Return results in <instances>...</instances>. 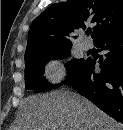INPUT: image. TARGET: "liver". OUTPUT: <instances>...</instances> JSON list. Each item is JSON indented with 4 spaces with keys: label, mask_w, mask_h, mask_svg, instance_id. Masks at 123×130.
Listing matches in <instances>:
<instances>
[{
    "label": "liver",
    "mask_w": 123,
    "mask_h": 130,
    "mask_svg": "<svg viewBox=\"0 0 123 130\" xmlns=\"http://www.w3.org/2000/svg\"><path fill=\"white\" fill-rule=\"evenodd\" d=\"M11 130H122L92 102L70 91L28 96L20 102Z\"/></svg>",
    "instance_id": "liver-1"
}]
</instances>
